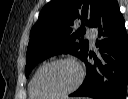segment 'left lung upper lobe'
I'll return each instance as SVG.
<instances>
[{
	"label": "left lung upper lobe",
	"instance_id": "left-lung-upper-lobe-1",
	"mask_svg": "<svg viewBox=\"0 0 128 99\" xmlns=\"http://www.w3.org/2000/svg\"><path fill=\"white\" fill-rule=\"evenodd\" d=\"M107 0H51L39 14L31 29L26 54V77L38 62L52 55L70 53L80 59L88 51V41L83 40L84 21L94 27ZM81 27L73 31L74 23Z\"/></svg>",
	"mask_w": 128,
	"mask_h": 99
}]
</instances>
